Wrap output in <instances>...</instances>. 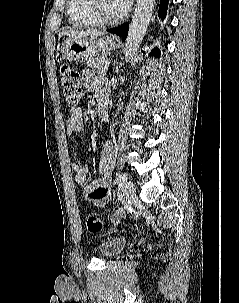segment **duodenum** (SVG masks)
<instances>
[{
	"mask_svg": "<svg viewBox=\"0 0 239 303\" xmlns=\"http://www.w3.org/2000/svg\"><path fill=\"white\" fill-rule=\"evenodd\" d=\"M98 115H99V118L101 119V121L108 122L109 117H110L108 107L105 105H101L98 109Z\"/></svg>",
	"mask_w": 239,
	"mask_h": 303,
	"instance_id": "duodenum-1",
	"label": "duodenum"
}]
</instances>
